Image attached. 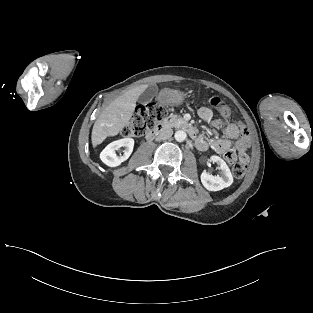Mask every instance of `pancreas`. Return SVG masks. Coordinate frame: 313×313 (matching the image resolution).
<instances>
[{"label":"pancreas","instance_id":"obj_1","mask_svg":"<svg viewBox=\"0 0 313 313\" xmlns=\"http://www.w3.org/2000/svg\"><path fill=\"white\" fill-rule=\"evenodd\" d=\"M170 118V119H169ZM169 118H166L164 121L170 126H175L178 122H182L183 119L177 115H171Z\"/></svg>","mask_w":313,"mask_h":313}]
</instances>
